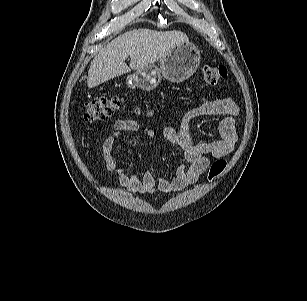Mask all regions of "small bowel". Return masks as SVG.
Wrapping results in <instances>:
<instances>
[{"label":"small bowel","instance_id":"1","mask_svg":"<svg viewBox=\"0 0 307 301\" xmlns=\"http://www.w3.org/2000/svg\"><path fill=\"white\" fill-rule=\"evenodd\" d=\"M238 112L239 108L231 98H200L198 106L185 115L179 128L166 127L162 130V138L173 144L184 160V163L176 168L172 179L150 170L142 175L128 173L120 155L117 157L118 161L114 160V145L125 135L135 134L149 140L158 136L155 130L143 127L135 120H117L111 126V134L101 143L106 169L116 172L120 186L132 193L181 191L199 179L208 168L211 158L223 157L234 150L237 143L234 117ZM207 116H224L218 124L219 138L196 143L191 136V123L196 118Z\"/></svg>","mask_w":307,"mask_h":301}]
</instances>
